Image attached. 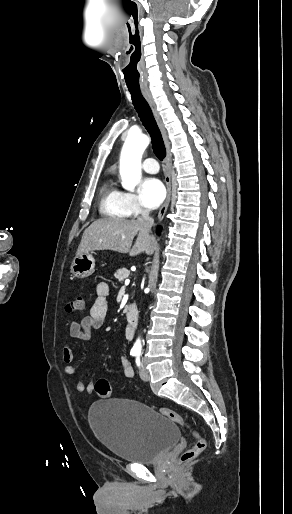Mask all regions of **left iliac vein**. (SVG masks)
Wrapping results in <instances>:
<instances>
[{"mask_svg": "<svg viewBox=\"0 0 292 514\" xmlns=\"http://www.w3.org/2000/svg\"><path fill=\"white\" fill-rule=\"evenodd\" d=\"M139 374H140V378L143 380V381H148L149 380V372L148 370L145 368L144 365H141L140 367V371H139Z\"/></svg>", "mask_w": 292, "mask_h": 514, "instance_id": "4c4485c4", "label": "left iliac vein"}]
</instances>
